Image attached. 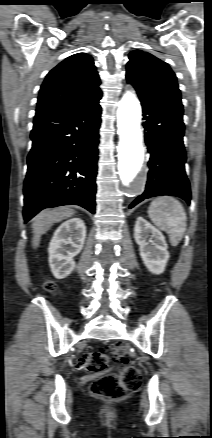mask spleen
Listing matches in <instances>:
<instances>
[{"mask_svg": "<svg viewBox=\"0 0 212 438\" xmlns=\"http://www.w3.org/2000/svg\"><path fill=\"white\" fill-rule=\"evenodd\" d=\"M148 214L151 221L169 235L171 245L177 246L187 226V216L183 205L170 196L157 197L151 202Z\"/></svg>", "mask_w": 212, "mask_h": 438, "instance_id": "1", "label": "spleen"}]
</instances>
